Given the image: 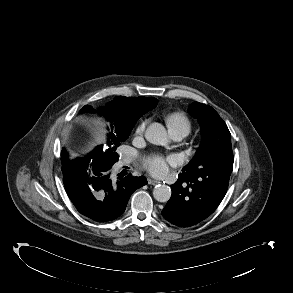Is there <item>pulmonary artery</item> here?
<instances>
[{
    "instance_id": "pulmonary-artery-1",
    "label": "pulmonary artery",
    "mask_w": 293,
    "mask_h": 293,
    "mask_svg": "<svg viewBox=\"0 0 293 293\" xmlns=\"http://www.w3.org/2000/svg\"><path fill=\"white\" fill-rule=\"evenodd\" d=\"M170 135L171 137L175 140V141H180L182 140L187 134L185 132L182 131H170Z\"/></svg>"
}]
</instances>
